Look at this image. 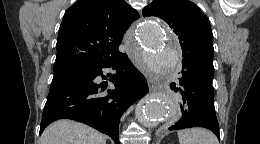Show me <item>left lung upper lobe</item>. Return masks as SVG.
<instances>
[{
	"instance_id": "obj_1",
	"label": "left lung upper lobe",
	"mask_w": 260,
	"mask_h": 144,
	"mask_svg": "<svg viewBox=\"0 0 260 144\" xmlns=\"http://www.w3.org/2000/svg\"><path fill=\"white\" fill-rule=\"evenodd\" d=\"M143 16L163 19L178 36L182 63H189L210 73L213 66V34L207 16L187 0H154L146 6Z\"/></svg>"
}]
</instances>
